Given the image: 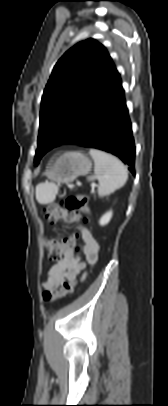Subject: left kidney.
Here are the masks:
<instances>
[{"label":"left kidney","mask_w":168,"mask_h":406,"mask_svg":"<svg viewBox=\"0 0 168 406\" xmlns=\"http://www.w3.org/2000/svg\"><path fill=\"white\" fill-rule=\"evenodd\" d=\"M111 218H112V211H109L101 217V219L99 221L100 225L104 226V225L108 224L109 221L111 220Z\"/></svg>","instance_id":"left-kidney-1"}]
</instances>
